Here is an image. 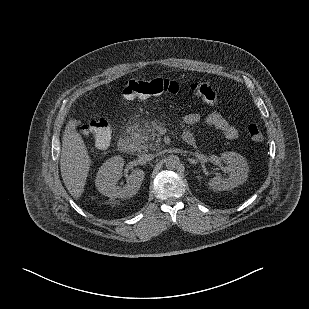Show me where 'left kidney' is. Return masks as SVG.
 <instances>
[{
    "label": "left kidney",
    "instance_id": "1",
    "mask_svg": "<svg viewBox=\"0 0 309 309\" xmlns=\"http://www.w3.org/2000/svg\"><path fill=\"white\" fill-rule=\"evenodd\" d=\"M221 160L227 164L228 176H216L209 180V186L215 191H227L242 185L248 177L249 167L245 158L236 152H224Z\"/></svg>",
    "mask_w": 309,
    "mask_h": 309
}]
</instances>
